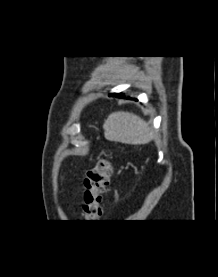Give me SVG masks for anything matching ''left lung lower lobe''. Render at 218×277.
Instances as JSON below:
<instances>
[{
	"label": "left lung lower lobe",
	"mask_w": 218,
	"mask_h": 277,
	"mask_svg": "<svg viewBox=\"0 0 218 277\" xmlns=\"http://www.w3.org/2000/svg\"><path fill=\"white\" fill-rule=\"evenodd\" d=\"M114 95H115V96H119L120 98H125V97H124V95H123V94H121V93H115ZM134 100H136V101H137V99H134Z\"/></svg>",
	"instance_id": "obj_1"
}]
</instances>
